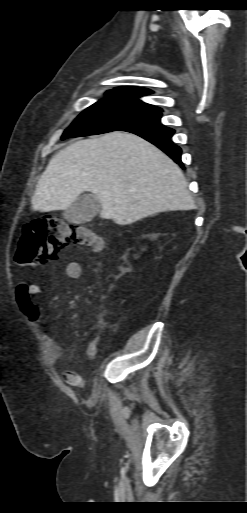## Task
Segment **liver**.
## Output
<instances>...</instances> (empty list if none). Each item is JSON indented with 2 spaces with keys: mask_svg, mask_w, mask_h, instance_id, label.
Segmentation results:
<instances>
[{
  "mask_svg": "<svg viewBox=\"0 0 247 513\" xmlns=\"http://www.w3.org/2000/svg\"><path fill=\"white\" fill-rule=\"evenodd\" d=\"M83 192L98 199L101 218L119 225L195 207L179 166L150 142L121 131L76 141L53 156L36 185L32 207L66 210Z\"/></svg>",
  "mask_w": 247,
  "mask_h": 513,
  "instance_id": "obj_1",
  "label": "liver"
}]
</instances>
